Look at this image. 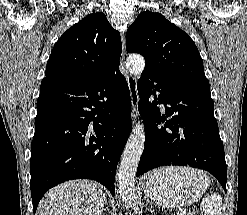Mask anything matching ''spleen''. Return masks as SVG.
I'll list each match as a JSON object with an SVG mask.
<instances>
[{
    "label": "spleen",
    "mask_w": 247,
    "mask_h": 215,
    "mask_svg": "<svg viewBox=\"0 0 247 215\" xmlns=\"http://www.w3.org/2000/svg\"><path fill=\"white\" fill-rule=\"evenodd\" d=\"M206 179V187L209 186V180ZM201 207L205 210L204 215H221L222 209V198L216 192H210L208 196H206L202 202Z\"/></svg>",
    "instance_id": "3e777b00"
}]
</instances>
